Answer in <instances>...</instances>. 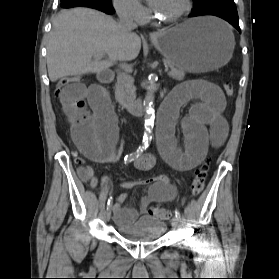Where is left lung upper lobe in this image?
I'll list each match as a JSON object with an SVG mask.
<instances>
[{
  "instance_id": "5c2ea615",
  "label": "left lung upper lobe",
  "mask_w": 279,
  "mask_h": 279,
  "mask_svg": "<svg viewBox=\"0 0 279 279\" xmlns=\"http://www.w3.org/2000/svg\"><path fill=\"white\" fill-rule=\"evenodd\" d=\"M201 0H193L194 4H198Z\"/></svg>"
}]
</instances>
